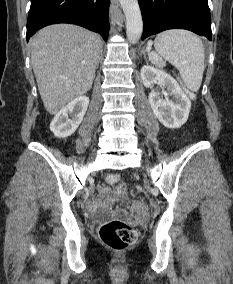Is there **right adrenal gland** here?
I'll list each match as a JSON object with an SVG mask.
<instances>
[{
    "instance_id": "right-adrenal-gland-1",
    "label": "right adrenal gland",
    "mask_w": 233,
    "mask_h": 284,
    "mask_svg": "<svg viewBox=\"0 0 233 284\" xmlns=\"http://www.w3.org/2000/svg\"><path fill=\"white\" fill-rule=\"evenodd\" d=\"M101 58H102V51H101V57H100L99 61H101Z\"/></svg>"
}]
</instances>
